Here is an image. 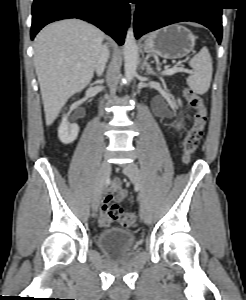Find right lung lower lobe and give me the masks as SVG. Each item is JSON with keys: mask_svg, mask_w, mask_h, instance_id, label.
<instances>
[{"mask_svg": "<svg viewBox=\"0 0 246 300\" xmlns=\"http://www.w3.org/2000/svg\"><path fill=\"white\" fill-rule=\"evenodd\" d=\"M31 39L48 23L66 18L88 21L124 43L129 24L127 0H34Z\"/></svg>", "mask_w": 246, "mask_h": 300, "instance_id": "98d812e1", "label": "right lung lower lobe"}]
</instances>
